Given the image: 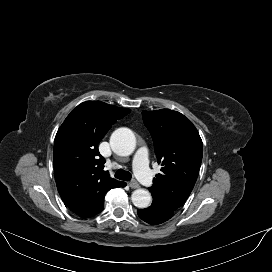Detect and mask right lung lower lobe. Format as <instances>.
I'll list each match as a JSON object with an SVG mask.
<instances>
[{
    "mask_svg": "<svg viewBox=\"0 0 272 272\" xmlns=\"http://www.w3.org/2000/svg\"><path fill=\"white\" fill-rule=\"evenodd\" d=\"M125 186H126V183L122 182L119 187H125Z\"/></svg>",
    "mask_w": 272,
    "mask_h": 272,
    "instance_id": "obj_1",
    "label": "right lung lower lobe"
}]
</instances>
